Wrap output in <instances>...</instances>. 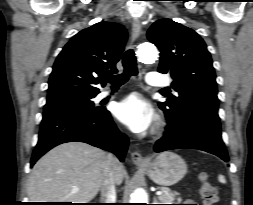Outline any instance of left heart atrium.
Segmentation results:
<instances>
[{
	"label": "left heart atrium",
	"mask_w": 253,
	"mask_h": 205,
	"mask_svg": "<svg viewBox=\"0 0 253 205\" xmlns=\"http://www.w3.org/2000/svg\"><path fill=\"white\" fill-rule=\"evenodd\" d=\"M114 113L119 121L135 133L147 131L155 120L153 108L138 94H132L120 101Z\"/></svg>",
	"instance_id": "39dd6f15"
}]
</instances>
